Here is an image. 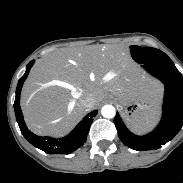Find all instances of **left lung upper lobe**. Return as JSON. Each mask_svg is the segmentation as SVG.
I'll return each mask as SVG.
<instances>
[{
    "instance_id": "obj_1",
    "label": "left lung upper lobe",
    "mask_w": 183,
    "mask_h": 183,
    "mask_svg": "<svg viewBox=\"0 0 183 183\" xmlns=\"http://www.w3.org/2000/svg\"><path fill=\"white\" fill-rule=\"evenodd\" d=\"M130 49L133 59L138 63H148L162 59H169V57L164 52L155 48L132 45Z\"/></svg>"
}]
</instances>
